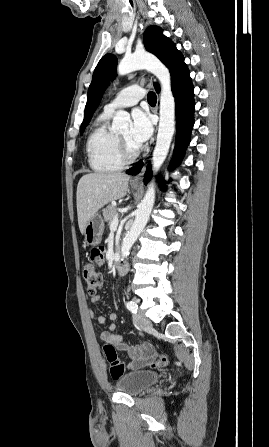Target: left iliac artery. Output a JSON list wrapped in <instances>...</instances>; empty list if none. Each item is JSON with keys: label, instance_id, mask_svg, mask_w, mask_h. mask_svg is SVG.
Listing matches in <instances>:
<instances>
[{"label": "left iliac artery", "instance_id": "1", "mask_svg": "<svg viewBox=\"0 0 269 447\" xmlns=\"http://www.w3.org/2000/svg\"><path fill=\"white\" fill-rule=\"evenodd\" d=\"M126 307L132 312L137 313L138 306L134 301H129L126 303Z\"/></svg>", "mask_w": 269, "mask_h": 447}]
</instances>
